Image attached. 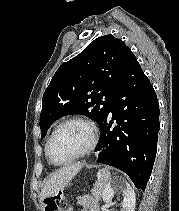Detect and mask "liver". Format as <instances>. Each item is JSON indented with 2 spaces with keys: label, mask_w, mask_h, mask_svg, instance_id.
<instances>
[{
  "label": "liver",
  "mask_w": 179,
  "mask_h": 211,
  "mask_svg": "<svg viewBox=\"0 0 179 211\" xmlns=\"http://www.w3.org/2000/svg\"><path fill=\"white\" fill-rule=\"evenodd\" d=\"M82 165L74 164L61 168L51 174L41 191L40 198L44 200L46 197L63 190V188L71 181V179L81 170Z\"/></svg>",
  "instance_id": "6515ba94"
}]
</instances>
